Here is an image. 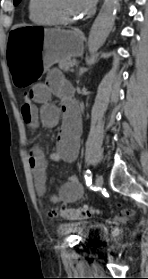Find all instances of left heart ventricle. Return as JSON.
I'll return each instance as SVG.
<instances>
[{
    "mask_svg": "<svg viewBox=\"0 0 148 279\" xmlns=\"http://www.w3.org/2000/svg\"><path fill=\"white\" fill-rule=\"evenodd\" d=\"M58 12L67 18L80 17L82 15L78 0H53Z\"/></svg>",
    "mask_w": 148,
    "mask_h": 279,
    "instance_id": "obj_1",
    "label": "left heart ventricle"
}]
</instances>
